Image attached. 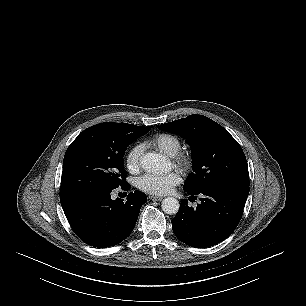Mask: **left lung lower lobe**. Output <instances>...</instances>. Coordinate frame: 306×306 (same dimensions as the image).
Listing matches in <instances>:
<instances>
[{
	"mask_svg": "<svg viewBox=\"0 0 306 306\" xmlns=\"http://www.w3.org/2000/svg\"><path fill=\"white\" fill-rule=\"evenodd\" d=\"M195 197L200 194L201 203L196 209L182 200L177 215L172 219L175 236L183 243L205 248L225 240L241 220L249 187L220 184L199 191H188Z\"/></svg>",
	"mask_w": 306,
	"mask_h": 306,
	"instance_id": "left-lung-lower-lobe-1",
	"label": "left lung lower lobe"
}]
</instances>
